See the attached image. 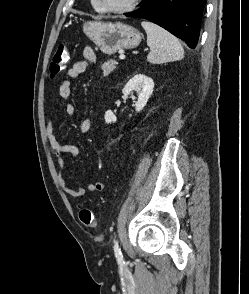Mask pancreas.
<instances>
[{"instance_id":"obj_1","label":"pancreas","mask_w":249,"mask_h":294,"mask_svg":"<svg viewBox=\"0 0 249 294\" xmlns=\"http://www.w3.org/2000/svg\"><path fill=\"white\" fill-rule=\"evenodd\" d=\"M116 61L113 59L108 60L107 62H104L102 65L103 74L105 76L109 75L112 71L116 69Z\"/></svg>"}]
</instances>
